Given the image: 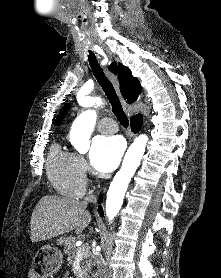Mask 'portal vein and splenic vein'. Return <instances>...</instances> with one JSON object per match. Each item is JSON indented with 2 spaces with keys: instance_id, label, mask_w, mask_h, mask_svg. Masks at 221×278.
<instances>
[{
  "instance_id": "18ae733b",
  "label": "portal vein and splenic vein",
  "mask_w": 221,
  "mask_h": 278,
  "mask_svg": "<svg viewBox=\"0 0 221 278\" xmlns=\"http://www.w3.org/2000/svg\"><path fill=\"white\" fill-rule=\"evenodd\" d=\"M85 249H86V244H83V245L80 247L77 256H82V254H83V252L85 251Z\"/></svg>"
}]
</instances>
